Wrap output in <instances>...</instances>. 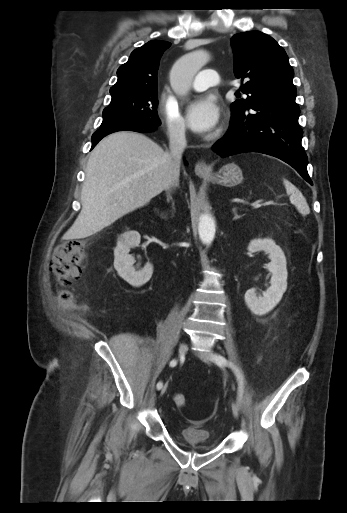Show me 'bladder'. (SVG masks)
I'll use <instances>...</instances> for the list:
<instances>
[{
    "mask_svg": "<svg viewBox=\"0 0 347 513\" xmlns=\"http://www.w3.org/2000/svg\"><path fill=\"white\" fill-rule=\"evenodd\" d=\"M180 436L184 444L201 451H210L218 446V443L213 440L211 432L205 428L186 426L182 428Z\"/></svg>",
    "mask_w": 347,
    "mask_h": 513,
    "instance_id": "31cf9c89",
    "label": "bladder"
}]
</instances>
